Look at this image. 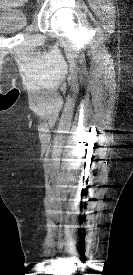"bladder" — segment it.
I'll return each mask as SVG.
<instances>
[{"mask_svg":"<svg viewBox=\"0 0 133 275\" xmlns=\"http://www.w3.org/2000/svg\"><path fill=\"white\" fill-rule=\"evenodd\" d=\"M28 24L27 13L18 7L0 5V32H16Z\"/></svg>","mask_w":133,"mask_h":275,"instance_id":"1","label":"bladder"}]
</instances>
